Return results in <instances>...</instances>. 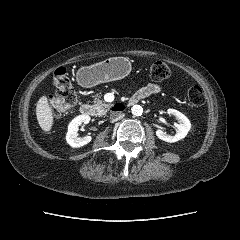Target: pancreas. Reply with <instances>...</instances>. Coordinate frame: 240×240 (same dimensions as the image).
Returning a JSON list of instances; mask_svg holds the SVG:
<instances>
[{"label":"pancreas","mask_w":240,"mask_h":240,"mask_svg":"<svg viewBox=\"0 0 240 240\" xmlns=\"http://www.w3.org/2000/svg\"><path fill=\"white\" fill-rule=\"evenodd\" d=\"M95 110H97L99 115L106 114L107 110L112 107V104L106 103L105 101L100 100L99 98H96L93 101V106Z\"/></svg>","instance_id":"pancreas-1"}]
</instances>
